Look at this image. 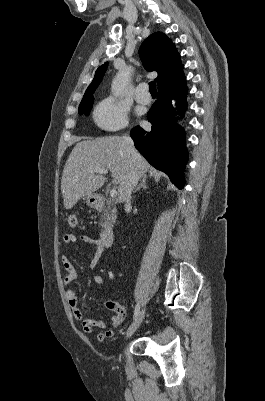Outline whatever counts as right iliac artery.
Listing matches in <instances>:
<instances>
[{"mask_svg": "<svg viewBox=\"0 0 265 401\" xmlns=\"http://www.w3.org/2000/svg\"><path fill=\"white\" fill-rule=\"evenodd\" d=\"M139 312H140V306H139V304H137L136 307H135L134 316H133L134 320L138 316Z\"/></svg>", "mask_w": 265, "mask_h": 401, "instance_id": "obj_1", "label": "right iliac artery"}]
</instances>
